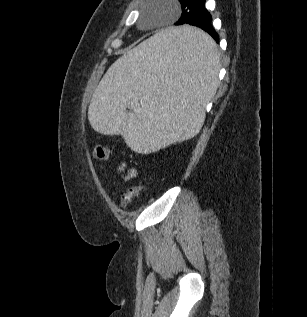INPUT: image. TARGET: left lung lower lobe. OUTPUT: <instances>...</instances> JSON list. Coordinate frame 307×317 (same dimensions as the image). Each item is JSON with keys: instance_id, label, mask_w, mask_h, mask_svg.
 <instances>
[{"instance_id": "0a47b994", "label": "left lung lower lobe", "mask_w": 307, "mask_h": 317, "mask_svg": "<svg viewBox=\"0 0 307 317\" xmlns=\"http://www.w3.org/2000/svg\"><path fill=\"white\" fill-rule=\"evenodd\" d=\"M206 0H203L196 8L195 13L183 20L182 24H189L192 26H197L207 32L216 43H219V35L212 26L211 14L205 8ZM179 24V25H182ZM168 46L172 50H186L191 51L197 56L204 58L211 57L213 55V46L202 40L188 37V36H171L167 42Z\"/></svg>"}]
</instances>
